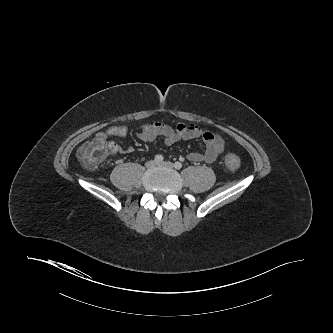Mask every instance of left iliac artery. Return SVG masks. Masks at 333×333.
<instances>
[{
    "mask_svg": "<svg viewBox=\"0 0 333 333\" xmlns=\"http://www.w3.org/2000/svg\"><path fill=\"white\" fill-rule=\"evenodd\" d=\"M174 167L179 170V169L182 168V163L181 162H175Z\"/></svg>",
    "mask_w": 333,
    "mask_h": 333,
    "instance_id": "left-iliac-artery-1",
    "label": "left iliac artery"
}]
</instances>
